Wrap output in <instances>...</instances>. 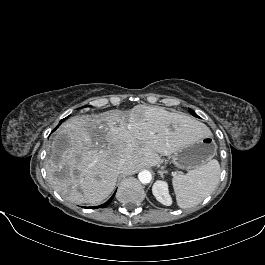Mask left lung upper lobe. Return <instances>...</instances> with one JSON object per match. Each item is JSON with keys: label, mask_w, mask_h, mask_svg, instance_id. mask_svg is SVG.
<instances>
[{"label": "left lung upper lobe", "mask_w": 265, "mask_h": 265, "mask_svg": "<svg viewBox=\"0 0 265 265\" xmlns=\"http://www.w3.org/2000/svg\"><path fill=\"white\" fill-rule=\"evenodd\" d=\"M188 111L195 117H198L197 114L192 110V109H188Z\"/></svg>", "instance_id": "1"}]
</instances>
